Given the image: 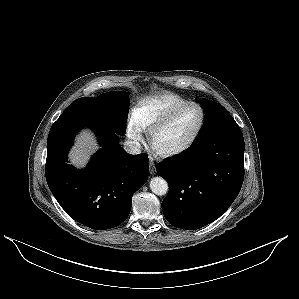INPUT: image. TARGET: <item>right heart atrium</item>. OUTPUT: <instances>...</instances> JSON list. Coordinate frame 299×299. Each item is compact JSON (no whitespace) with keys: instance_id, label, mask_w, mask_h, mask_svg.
Listing matches in <instances>:
<instances>
[{"instance_id":"1","label":"right heart atrium","mask_w":299,"mask_h":299,"mask_svg":"<svg viewBox=\"0 0 299 299\" xmlns=\"http://www.w3.org/2000/svg\"><path fill=\"white\" fill-rule=\"evenodd\" d=\"M126 132L134 147H138L143 141L144 128L134 116L128 120Z\"/></svg>"}]
</instances>
